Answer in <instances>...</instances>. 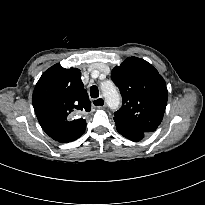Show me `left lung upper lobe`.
I'll use <instances>...</instances> for the list:
<instances>
[{"mask_svg":"<svg viewBox=\"0 0 205 205\" xmlns=\"http://www.w3.org/2000/svg\"><path fill=\"white\" fill-rule=\"evenodd\" d=\"M111 78L122 95L114 120L150 133L160 125L168 99L166 83L147 61L128 57L114 67Z\"/></svg>","mask_w":205,"mask_h":205,"instance_id":"left-lung-upper-lobe-1","label":"left lung upper lobe"}]
</instances>
